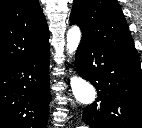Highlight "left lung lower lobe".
<instances>
[{"label": "left lung lower lobe", "mask_w": 142, "mask_h": 128, "mask_svg": "<svg viewBox=\"0 0 142 128\" xmlns=\"http://www.w3.org/2000/svg\"><path fill=\"white\" fill-rule=\"evenodd\" d=\"M79 75L97 89V100L83 111L90 128H142L140 60L82 37L76 52Z\"/></svg>", "instance_id": "left-lung-lower-lobe-1"}]
</instances>
